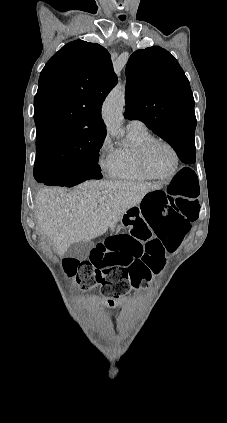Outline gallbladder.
<instances>
[{
	"label": "gallbladder",
	"instance_id": "obj_1",
	"mask_svg": "<svg viewBox=\"0 0 227 423\" xmlns=\"http://www.w3.org/2000/svg\"><path fill=\"white\" fill-rule=\"evenodd\" d=\"M92 247H94V241H77L68 247L67 255L83 261V259H87Z\"/></svg>",
	"mask_w": 227,
	"mask_h": 423
}]
</instances>
